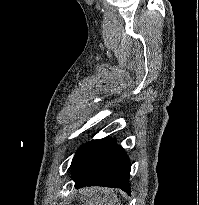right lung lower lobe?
<instances>
[{
    "instance_id": "right-lung-lower-lobe-1",
    "label": "right lung lower lobe",
    "mask_w": 199,
    "mask_h": 205,
    "mask_svg": "<svg viewBox=\"0 0 199 205\" xmlns=\"http://www.w3.org/2000/svg\"><path fill=\"white\" fill-rule=\"evenodd\" d=\"M130 169L125 150L110 138L73 164L72 179L76 188L106 186L130 194Z\"/></svg>"
}]
</instances>
